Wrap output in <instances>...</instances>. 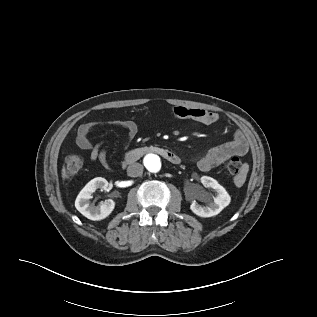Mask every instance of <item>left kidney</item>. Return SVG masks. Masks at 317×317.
Instances as JSON below:
<instances>
[{
    "label": "left kidney",
    "mask_w": 317,
    "mask_h": 317,
    "mask_svg": "<svg viewBox=\"0 0 317 317\" xmlns=\"http://www.w3.org/2000/svg\"><path fill=\"white\" fill-rule=\"evenodd\" d=\"M201 183L204 187L215 191L213 202H209L207 205L202 206L194 200L190 205V209L194 214L203 218L215 216L230 204L231 197L225 188L211 177L202 176ZM200 199L205 200L204 197H201Z\"/></svg>",
    "instance_id": "1"
}]
</instances>
